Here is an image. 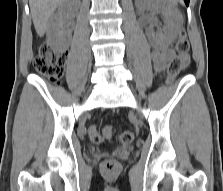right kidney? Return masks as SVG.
I'll return each mask as SVG.
<instances>
[{
  "label": "right kidney",
  "instance_id": "right-kidney-1",
  "mask_svg": "<svg viewBox=\"0 0 223 191\" xmlns=\"http://www.w3.org/2000/svg\"><path fill=\"white\" fill-rule=\"evenodd\" d=\"M78 7V1L70 0L61 5L51 17L47 37L50 46L59 52L65 51L72 39V33L68 25L69 13Z\"/></svg>",
  "mask_w": 223,
  "mask_h": 191
}]
</instances>
